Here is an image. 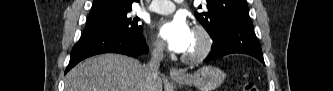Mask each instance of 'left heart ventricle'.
<instances>
[{"label": "left heart ventricle", "instance_id": "obj_1", "mask_svg": "<svg viewBox=\"0 0 333 91\" xmlns=\"http://www.w3.org/2000/svg\"><path fill=\"white\" fill-rule=\"evenodd\" d=\"M199 45H200V39L198 38L197 35H195L193 33L190 44H189L187 50L185 51V53L189 54V53L196 51L198 49Z\"/></svg>", "mask_w": 333, "mask_h": 91}]
</instances>
